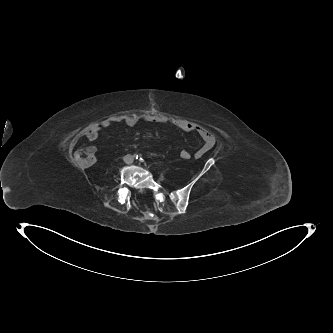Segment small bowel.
I'll return each instance as SVG.
<instances>
[{
	"label": "small bowel",
	"mask_w": 333,
	"mask_h": 333,
	"mask_svg": "<svg viewBox=\"0 0 333 333\" xmlns=\"http://www.w3.org/2000/svg\"><path fill=\"white\" fill-rule=\"evenodd\" d=\"M141 119L148 121V122H153V123H165L166 121L163 120L162 118L159 117H153V116H137V115H131L128 116L123 120V122L130 126L133 127L135 126ZM121 122V120H111V119H106L103 120L102 122L94 125L91 127L85 134V137L89 141H95L101 131L103 129L110 128L114 123ZM173 124L186 132H196L200 138L203 140V145L195 152L194 157L195 158H201L203 157L207 152H209L214 144H215V136L213 133H211L207 128H205L202 125L196 124L194 122L184 120V119H176L173 121Z\"/></svg>",
	"instance_id": "1"
}]
</instances>
